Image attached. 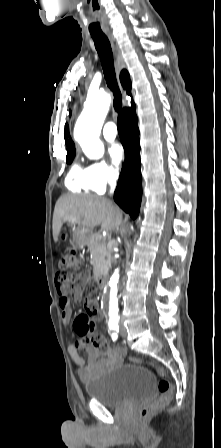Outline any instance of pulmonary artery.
<instances>
[{
    "label": "pulmonary artery",
    "mask_w": 221,
    "mask_h": 448,
    "mask_svg": "<svg viewBox=\"0 0 221 448\" xmlns=\"http://www.w3.org/2000/svg\"><path fill=\"white\" fill-rule=\"evenodd\" d=\"M103 136L107 141H113L117 137V126L113 122H108L103 128Z\"/></svg>",
    "instance_id": "1"
}]
</instances>
